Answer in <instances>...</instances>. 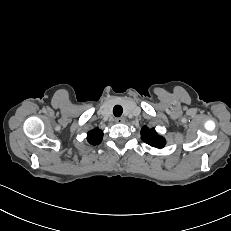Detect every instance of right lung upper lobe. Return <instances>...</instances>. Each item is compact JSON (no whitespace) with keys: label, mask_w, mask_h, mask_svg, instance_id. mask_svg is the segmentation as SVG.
<instances>
[{"label":"right lung upper lobe","mask_w":231,"mask_h":231,"mask_svg":"<svg viewBox=\"0 0 231 231\" xmlns=\"http://www.w3.org/2000/svg\"><path fill=\"white\" fill-rule=\"evenodd\" d=\"M102 137H103V132L98 128L89 131L87 134V140L91 145H96L101 143Z\"/></svg>","instance_id":"1"}]
</instances>
